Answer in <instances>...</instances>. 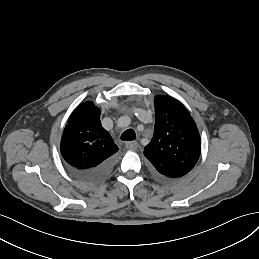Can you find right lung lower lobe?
<instances>
[{"mask_svg":"<svg viewBox=\"0 0 259 259\" xmlns=\"http://www.w3.org/2000/svg\"><path fill=\"white\" fill-rule=\"evenodd\" d=\"M115 165L114 156L102 164L90 169H77L68 166L70 173L77 179L86 183H97L110 174Z\"/></svg>","mask_w":259,"mask_h":259,"instance_id":"1","label":"right lung lower lobe"}]
</instances>
